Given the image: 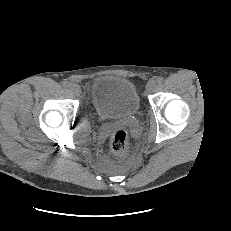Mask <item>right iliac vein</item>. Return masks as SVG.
<instances>
[{"label":"right iliac vein","instance_id":"obj_1","mask_svg":"<svg viewBox=\"0 0 231 231\" xmlns=\"http://www.w3.org/2000/svg\"><path fill=\"white\" fill-rule=\"evenodd\" d=\"M69 87H70V91H71L73 94H75V95L80 94L81 88H80V86H79L78 84L72 83V84H70Z\"/></svg>","mask_w":231,"mask_h":231}]
</instances>
